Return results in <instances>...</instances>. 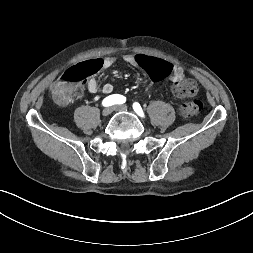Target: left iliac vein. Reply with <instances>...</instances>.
Wrapping results in <instances>:
<instances>
[{"instance_id": "4c4485c4", "label": "left iliac vein", "mask_w": 253, "mask_h": 253, "mask_svg": "<svg viewBox=\"0 0 253 253\" xmlns=\"http://www.w3.org/2000/svg\"><path fill=\"white\" fill-rule=\"evenodd\" d=\"M114 111H127L128 107L126 105H117L113 107Z\"/></svg>"}]
</instances>
